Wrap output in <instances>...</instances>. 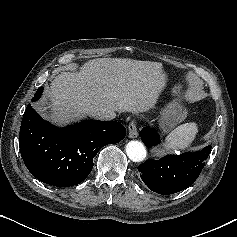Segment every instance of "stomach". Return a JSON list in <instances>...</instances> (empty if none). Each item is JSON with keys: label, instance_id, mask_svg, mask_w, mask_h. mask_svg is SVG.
Listing matches in <instances>:
<instances>
[{"label": "stomach", "instance_id": "1", "mask_svg": "<svg viewBox=\"0 0 237 237\" xmlns=\"http://www.w3.org/2000/svg\"><path fill=\"white\" fill-rule=\"evenodd\" d=\"M181 85H175L172 88L174 99L169 102L160 113V128L167 132L175 125L182 122L187 116V110L181 104Z\"/></svg>", "mask_w": 237, "mask_h": 237}]
</instances>
